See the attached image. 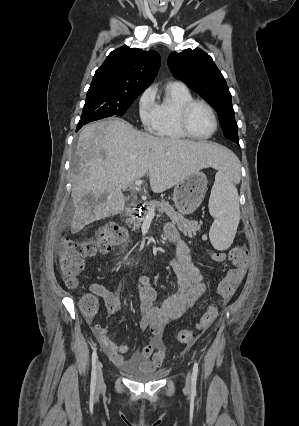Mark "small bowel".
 Returning <instances> with one entry per match:
<instances>
[{"label": "small bowel", "mask_w": 299, "mask_h": 426, "mask_svg": "<svg viewBox=\"0 0 299 426\" xmlns=\"http://www.w3.org/2000/svg\"><path fill=\"white\" fill-rule=\"evenodd\" d=\"M164 234L169 242L176 244V258L170 259L168 264L176 275L177 289L158 306L156 305L157 293L149 278L139 277L138 293L142 314L140 328L151 334L145 346L134 351L129 358H125L124 355L129 351V347L110 340L107 335L108 327L93 325V331L100 346L117 367H160L166 357L163 342L165 326L180 318L206 291L203 273L193 263L190 249L177 228L167 224L164 227ZM93 291L103 299L110 315L117 311L119 299L115 292L101 285H94Z\"/></svg>", "instance_id": "1"}]
</instances>
